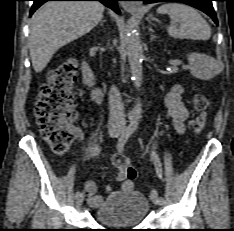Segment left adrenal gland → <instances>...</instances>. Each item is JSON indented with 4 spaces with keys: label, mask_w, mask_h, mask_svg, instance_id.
Masks as SVG:
<instances>
[{
    "label": "left adrenal gland",
    "mask_w": 234,
    "mask_h": 231,
    "mask_svg": "<svg viewBox=\"0 0 234 231\" xmlns=\"http://www.w3.org/2000/svg\"><path fill=\"white\" fill-rule=\"evenodd\" d=\"M156 38H157V36L154 35L153 30L150 29V41L152 42V41H153L154 39H156Z\"/></svg>",
    "instance_id": "a2214340"
}]
</instances>
